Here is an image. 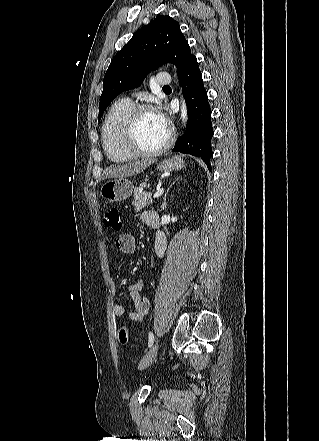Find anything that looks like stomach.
I'll use <instances>...</instances> for the list:
<instances>
[{
	"mask_svg": "<svg viewBox=\"0 0 319 441\" xmlns=\"http://www.w3.org/2000/svg\"><path fill=\"white\" fill-rule=\"evenodd\" d=\"M184 167V160L180 156H174L162 161L157 169L162 172L179 170ZM133 183L123 178L111 179L106 181L100 190V195L107 202H120L129 198L133 192Z\"/></svg>",
	"mask_w": 319,
	"mask_h": 441,
	"instance_id": "0dacf381",
	"label": "stomach"
}]
</instances>
